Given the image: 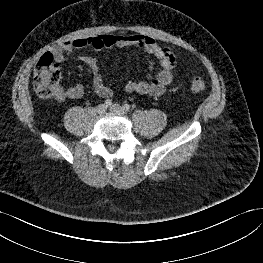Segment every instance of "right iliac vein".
<instances>
[{"instance_id": "obj_1", "label": "right iliac vein", "mask_w": 263, "mask_h": 263, "mask_svg": "<svg viewBox=\"0 0 263 263\" xmlns=\"http://www.w3.org/2000/svg\"><path fill=\"white\" fill-rule=\"evenodd\" d=\"M107 107L104 104H100L97 106V112L99 114H104L106 112Z\"/></svg>"}]
</instances>
